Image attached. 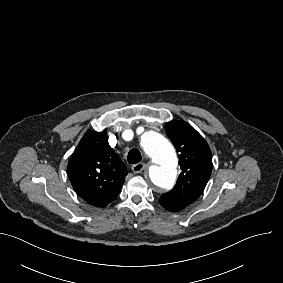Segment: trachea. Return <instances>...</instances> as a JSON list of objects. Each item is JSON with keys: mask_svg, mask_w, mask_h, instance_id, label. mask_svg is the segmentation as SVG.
Instances as JSON below:
<instances>
[{"mask_svg": "<svg viewBox=\"0 0 283 283\" xmlns=\"http://www.w3.org/2000/svg\"><path fill=\"white\" fill-rule=\"evenodd\" d=\"M127 159L130 164L139 163L142 159L140 151L137 148L131 149L128 153Z\"/></svg>", "mask_w": 283, "mask_h": 283, "instance_id": "trachea-1", "label": "trachea"}]
</instances>
